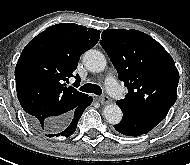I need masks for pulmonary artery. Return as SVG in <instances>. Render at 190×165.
Listing matches in <instances>:
<instances>
[{"label":"pulmonary artery","instance_id":"1","mask_svg":"<svg viewBox=\"0 0 190 165\" xmlns=\"http://www.w3.org/2000/svg\"><path fill=\"white\" fill-rule=\"evenodd\" d=\"M105 86L107 91L114 97L119 98L122 94V91L115 79L114 76L109 75L107 76L106 80H105Z\"/></svg>","mask_w":190,"mask_h":165}]
</instances>
